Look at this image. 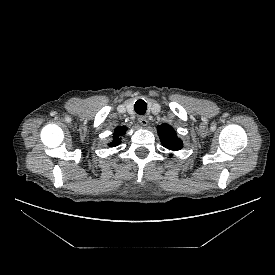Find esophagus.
Returning a JSON list of instances; mask_svg holds the SVG:
<instances>
[{"instance_id": "obj_1", "label": "esophagus", "mask_w": 275, "mask_h": 275, "mask_svg": "<svg viewBox=\"0 0 275 275\" xmlns=\"http://www.w3.org/2000/svg\"><path fill=\"white\" fill-rule=\"evenodd\" d=\"M138 121L143 127H146L148 125V120L146 116H139Z\"/></svg>"}]
</instances>
